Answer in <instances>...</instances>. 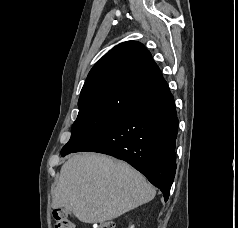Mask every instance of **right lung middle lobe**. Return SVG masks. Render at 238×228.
<instances>
[{
    "mask_svg": "<svg viewBox=\"0 0 238 228\" xmlns=\"http://www.w3.org/2000/svg\"><path fill=\"white\" fill-rule=\"evenodd\" d=\"M124 112L122 111H82L71 129V138L62 148L61 155L65 156L86 143Z\"/></svg>",
    "mask_w": 238,
    "mask_h": 228,
    "instance_id": "1",
    "label": "right lung middle lobe"
}]
</instances>
